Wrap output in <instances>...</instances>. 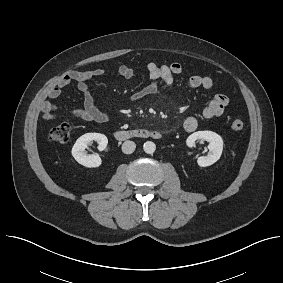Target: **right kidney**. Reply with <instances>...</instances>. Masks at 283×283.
Wrapping results in <instances>:
<instances>
[{"mask_svg": "<svg viewBox=\"0 0 283 283\" xmlns=\"http://www.w3.org/2000/svg\"><path fill=\"white\" fill-rule=\"evenodd\" d=\"M91 141H96L98 149L103 151L108 144V139L101 133H86L79 137L72 148V156L81 165L88 168L99 167L102 163L99 155H87L85 149Z\"/></svg>", "mask_w": 283, "mask_h": 283, "instance_id": "ca27d5eb", "label": "right kidney"}]
</instances>
